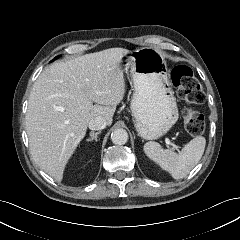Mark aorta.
I'll return each mask as SVG.
<instances>
[{
  "label": "aorta",
  "mask_w": 240,
  "mask_h": 240,
  "mask_svg": "<svg viewBox=\"0 0 240 240\" xmlns=\"http://www.w3.org/2000/svg\"><path fill=\"white\" fill-rule=\"evenodd\" d=\"M111 140L116 145H124L128 141V133L125 129H116L111 134Z\"/></svg>",
  "instance_id": "762f6f07"
}]
</instances>
